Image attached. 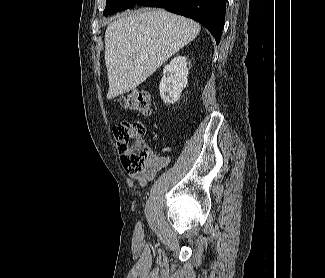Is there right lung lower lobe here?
Masks as SVG:
<instances>
[{
    "mask_svg": "<svg viewBox=\"0 0 325 278\" xmlns=\"http://www.w3.org/2000/svg\"><path fill=\"white\" fill-rule=\"evenodd\" d=\"M135 5L160 7L192 18L210 31L217 44L220 41L225 22L226 0H138Z\"/></svg>",
    "mask_w": 325,
    "mask_h": 278,
    "instance_id": "98d812e1",
    "label": "right lung lower lobe"
}]
</instances>
